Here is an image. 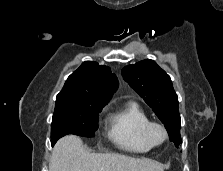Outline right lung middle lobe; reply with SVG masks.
Wrapping results in <instances>:
<instances>
[{"label": "right lung middle lobe", "instance_id": "dd1d6c3e", "mask_svg": "<svg viewBox=\"0 0 223 171\" xmlns=\"http://www.w3.org/2000/svg\"><path fill=\"white\" fill-rule=\"evenodd\" d=\"M105 105L84 103H56L51 124V143L67 134L94 137L98 129V115Z\"/></svg>", "mask_w": 223, "mask_h": 171}]
</instances>
